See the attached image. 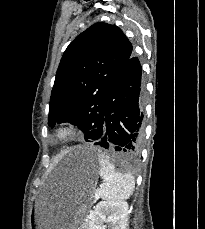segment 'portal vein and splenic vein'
Listing matches in <instances>:
<instances>
[{
    "label": "portal vein and splenic vein",
    "mask_w": 205,
    "mask_h": 229,
    "mask_svg": "<svg viewBox=\"0 0 205 229\" xmlns=\"http://www.w3.org/2000/svg\"><path fill=\"white\" fill-rule=\"evenodd\" d=\"M91 215H92V212H90V215H89V216H91ZM89 216H88V217H89Z\"/></svg>",
    "instance_id": "portal-vein-and-splenic-vein-1"
}]
</instances>
